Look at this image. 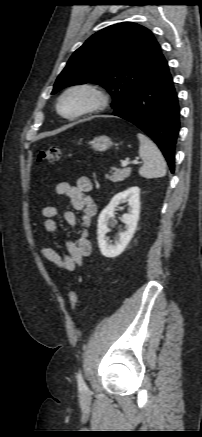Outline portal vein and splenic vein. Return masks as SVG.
Here are the masks:
<instances>
[{"label": "portal vein and splenic vein", "instance_id": "1", "mask_svg": "<svg viewBox=\"0 0 202 437\" xmlns=\"http://www.w3.org/2000/svg\"><path fill=\"white\" fill-rule=\"evenodd\" d=\"M132 163H133V164H140L141 162L135 160V161H133ZM129 164H130L129 161H123V162L121 163V166H122V167H127Z\"/></svg>", "mask_w": 202, "mask_h": 437}]
</instances>
